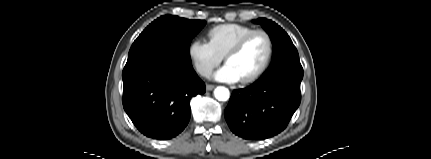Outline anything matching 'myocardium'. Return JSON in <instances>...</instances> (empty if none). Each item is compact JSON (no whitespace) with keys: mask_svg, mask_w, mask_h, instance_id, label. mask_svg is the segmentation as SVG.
<instances>
[{"mask_svg":"<svg viewBox=\"0 0 431 159\" xmlns=\"http://www.w3.org/2000/svg\"><path fill=\"white\" fill-rule=\"evenodd\" d=\"M255 35H263L266 38L268 43V53L264 63L256 72L240 80L242 84H249L258 80L268 70L274 56V41L271 35L265 30H253L241 37L223 56L224 61L227 62L229 58L237 55L244 48L247 42Z\"/></svg>","mask_w":431,"mask_h":159,"instance_id":"f54148a6","label":"myocardium"}]
</instances>
